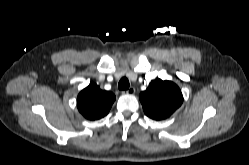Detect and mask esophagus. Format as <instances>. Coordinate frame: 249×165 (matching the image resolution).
<instances>
[{
  "instance_id": "obj_1",
  "label": "esophagus",
  "mask_w": 249,
  "mask_h": 165,
  "mask_svg": "<svg viewBox=\"0 0 249 165\" xmlns=\"http://www.w3.org/2000/svg\"><path fill=\"white\" fill-rule=\"evenodd\" d=\"M123 93L133 95L135 93V88L130 87L128 90L124 91Z\"/></svg>"
}]
</instances>
